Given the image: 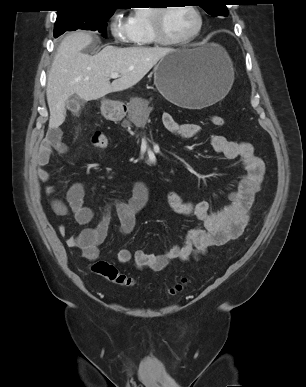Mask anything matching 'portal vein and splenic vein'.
<instances>
[{"label": "portal vein and splenic vein", "instance_id": "18ae733b", "mask_svg": "<svg viewBox=\"0 0 306 387\" xmlns=\"http://www.w3.org/2000/svg\"><path fill=\"white\" fill-rule=\"evenodd\" d=\"M119 76H120L119 73H111V75H110V77L113 78V79H116Z\"/></svg>", "mask_w": 306, "mask_h": 387}]
</instances>
